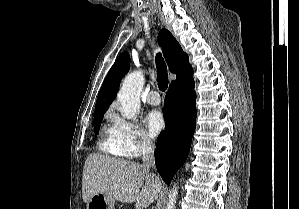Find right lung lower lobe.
Instances as JSON below:
<instances>
[{
    "label": "right lung lower lobe",
    "mask_w": 299,
    "mask_h": 209,
    "mask_svg": "<svg viewBox=\"0 0 299 209\" xmlns=\"http://www.w3.org/2000/svg\"><path fill=\"white\" fill-rule=\"evenodd\" d=\"M195 100L193 78L170 86L166 94L163 108L165 130L158 137L155 164L167 184L189 154L196 125Z\"/></svg>",
    "instance_id": "98d812e1"
}]
</instances>
